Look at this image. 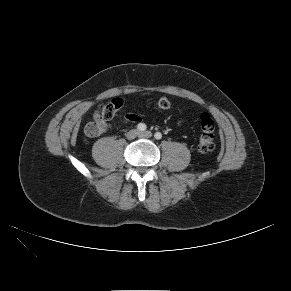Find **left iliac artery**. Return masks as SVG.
I'll use <instances>...</instances> for the list:
<instances>
[{
  "instance_id": "obj_1",
  "label": "left iliac artery",
  "mask_w": 291,
  "mask_h": 291,
  "mask_svg": "<svg viewBox=\"0 0 291 291\" xmlns=\"http://www.w3.org/2000/svg\"><path fill=\"white\" fill-rule=\"evenodd\" d=\"M154 137L155 139L160 140L162 138V134L160 132H156Z\"/></svg>"
}]
</instances>
